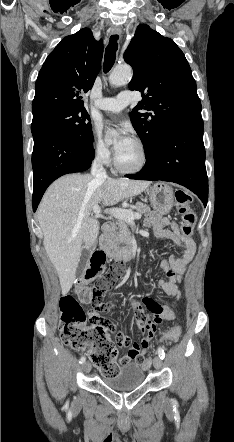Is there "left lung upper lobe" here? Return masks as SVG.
<instances>
[{
  "label": "left lung upper lobe",
  "mask_w": 234,
  "mask_h": 442,
  "mask_svg": "<svg viewBox=\"0 0 234 442\" xmlns=\"http://www.w3.org/2000/svg\"><path fill=\"white\" fill-rule=\"evenodd\" d=\"M124 60L133 68L129 89L140 91L143 97L130 119L150 159L165 131L184 120L201 117V102L183 52L172 39L148 25H138ZM140 109L149 112H137Z\"/></svg>",
  "instance_id": "left-lung-upper-lobe-1"
}]
</instances>
